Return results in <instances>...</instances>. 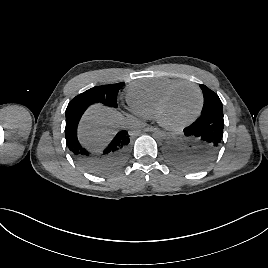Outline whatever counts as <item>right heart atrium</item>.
Returning a JSON list of instances; mask_svg holds the SVG:
<instances>
[{
	"label": "right heart atrium",
	"instance_id": "1",
	"mask_svg": "<svg viewBox=\"0 0 268 268\" xmlns=\"http://www.w3.org/2000/svg\"><path fill=\"white\" fill-rule=\"evenodd\" d=\"M130 112H131L133 115H136V116H139V117H144L141 113H139L138 111L134 110L133 108L130 109Z\"/></svg>",
	"mask_w": 268,
	"mask_h": 268
}]
</instances>
